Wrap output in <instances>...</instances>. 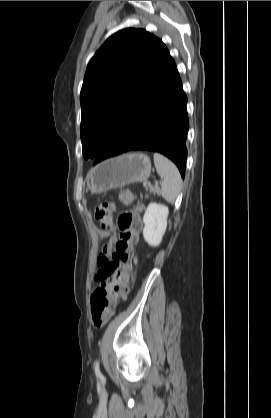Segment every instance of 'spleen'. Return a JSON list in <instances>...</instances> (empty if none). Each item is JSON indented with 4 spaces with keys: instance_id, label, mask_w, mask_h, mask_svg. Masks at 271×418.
Returning <instances> with one entry per match:
<instances>
[{
    "instance_id": "1",
    "label": "spleen",
    "mask_w": 271,
    "mask_h": 418,
    "mask_svg": "<svg viewBox=\"0 0 271 418\" xmlns=\"http://www.w3.org/2000/svg\"><path fill=\"white\" fill-rule=\"evenodd\" d=\"M153 157L156 171L162 178L161 195L167 202L173 203L182 187V179L178 168L161 154L155 153Z\"/></svg>"
}]
</instances>
